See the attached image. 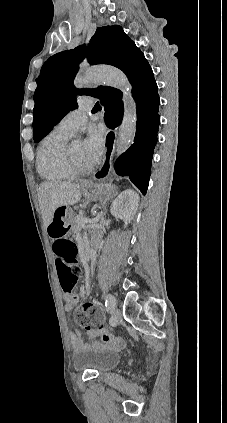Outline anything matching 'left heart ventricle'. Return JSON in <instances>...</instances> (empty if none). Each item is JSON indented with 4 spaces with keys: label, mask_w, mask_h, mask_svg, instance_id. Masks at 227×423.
Here are the masks:
<instances>
[{
    "label": "left heart ventricle",
    "mask_w": 227,
    "mask_h": 423,
    "mask_svg": "<svg viewBox=\"0 0 227 423\" xmlns=\"http://www.w3.org/2000/svg\"><path fill=\"white\" fill-rule=\"evenodd\" d=\"M72 154L75 162L80 167L89 166L84 156V143L81 141H75L72 143Z\"/></svg>",
    "instance_id": "obj_1"
}]
</instances>
